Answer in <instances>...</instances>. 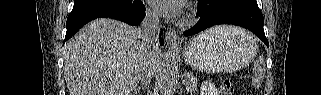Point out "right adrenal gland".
Returning <instances> with one entry per match:
<instances>
[{
	"instance_id": "1",
	"label": "right adrenal gland",
	"mask_w": 321,
	"mask_h": 95,
	"mask_svg": "<svg viewBox=\"0 0 321 95\" xmlns=\"http://www.w3.org/2000/svg\"><path fill=\"white\" fill-rule=\"evenodd\" d=\"M147 88V86L146 85H144V86H139L138 88H136L134 91H135V94H137V91H140V90H144V89H146Z\"/></svg>"
}]
</instances>
